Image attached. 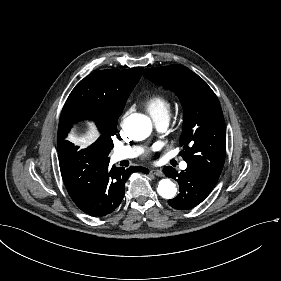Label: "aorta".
<instances>
[{"mask_svg": "<svg viewBox=\"0 0 281 281\" xmlns=\"http://www.w3.org/2000/svg\"><path fill=\"white\" fill-rule=\"evenodd\" d=\"M125 131L134 140H144L151 134V120L142 114H132L126 119ZM157 192L165 199H172L176 195L177 188L170 179H163L159 182Z\"/></svg>", "mask_w": 281, "mask_h": 281, "instance_id": "obj_1", "label": "aorta"}]
</instances>
